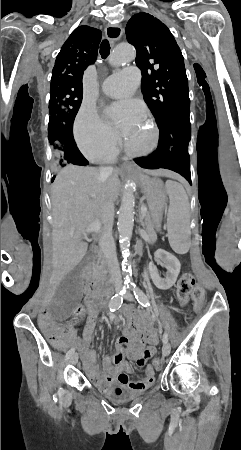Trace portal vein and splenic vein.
Masks as SVG:
<instances>
[{
    "label": "portal vein and splenic vein",
    "mask_w": 241,
    "mask_h": 450,
    "mask_svg": "<svg viewBox=\"0 0 241 450\" xmlns=\"http://www.w3.org/2000/svg\"><path fill=\"white\" fill-rule=\"evenodd\" d=\"M147 208L145 204L141 205V210H140V216H142L143 218L147 217ZM101 230V224L100 222H94V224H91V226H89V228H87V230H85L86 234L85 236H87V234H89V232H100ZM71 236H73V234H71Z\"/></svg>",
    "instance_id": "obj_1"
}]
</instances>
